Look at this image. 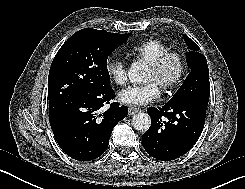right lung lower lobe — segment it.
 <instances>
[{
  "instance_id": "1",
  "label": "right lung lower lobe",
  "mask_w": 245,
  "mask_h": 189,
  "mask_svg": "<svg viewBox=\"0 0 245 189\" xmlns=\"http://www.w3.org/2000/svg\"><path fill=\"white\" fill-rule=\"evenodd\" d=\"M110 85H99L90 93L49 100V121L55 139L71 158L89 161L102 155L113 128L128 114L126 106L112 103ZM106 104L110 108L97 115Z\"/></svg>"
}]
</instances>
